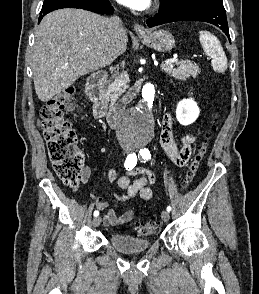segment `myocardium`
<instances>
[{
	"label": "myocardium",
	"mask_w": 259,
	"mask_h": 294,
	"mask_svg": "<svg viewBox=\"0 0 259 294\" xmlns=\"http://www.w3.org/2000/svg\"><path fill=\"white\" fill-rule=\"evenodd\" d=\"M156 8V3H154L151 7V10L155 9Z\"/></svg>",
	"instance_id": "f54148a6"
}]
</instances>
